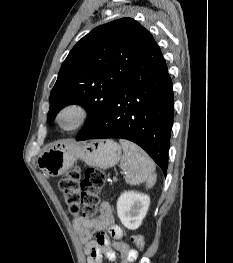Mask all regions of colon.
Wrapping results in <instances>:
<instances>
[{
  "label": "colon",
  "instance_id": "5ec220e1",
  "mask_svg": "<svg viewBox=\"0 0 233 263\" xmlns=\"http://www.w3.org/2000/svg\"><path fill=\"white\" fill-rule=\"evenodd\" d=\"M104 184L105 175L101 170L88 168L81 178L80 170L74 168L60 179L59 188L72 214L94 220L98 217L99 194ZM131 242L138 251L145 247V240L141 235L132 236Z\"/></svg>",
  "mask_w": 233,
  "mask_h": 263
}]
</instances>
